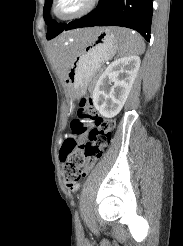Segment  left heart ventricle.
I'll list each match as a JSON object with an SVG mask.
<instances>
[{
	"instance_id": "obj_1",
	"label": "left heart ventricle",
	"mask_w": 183,
	"mask_h": 246,
	"mask_svg": "<svg viewBox=\"0 0 183 246\" xmlns=\"http://www.w3.org/2000/svg\"><path fill=\"white\" fill-rule=\"evenodd\" d=\"M86 0H61L58 5L60 14H69L80 9Z\"/></svg>"
}]
</instances>
